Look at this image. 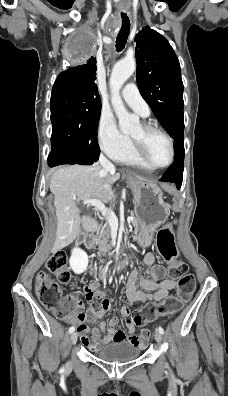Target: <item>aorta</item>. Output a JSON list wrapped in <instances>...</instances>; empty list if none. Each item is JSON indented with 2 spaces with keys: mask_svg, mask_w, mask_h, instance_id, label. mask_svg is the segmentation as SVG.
<instances>
[{
  "mask_svg": "<svg viewBox=\"0 0 228 396\" xmlns=\"http://www.w3.org/2000/svg\"><path fill=\"white\" fill-rule=\"evenodd\" d=\"M135 69V59L124 58L114 65L109 80L111 103L118 117L120 130L123 133L131 132L139 123V118L137 116L128 113L120 97V89L127 79L134 73Z\"/></svg>",
  "mask_w": 228,
  "mask_h": 396,
  "instance_id": "1",
  "label": "aorta"
}]
</instances>
